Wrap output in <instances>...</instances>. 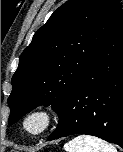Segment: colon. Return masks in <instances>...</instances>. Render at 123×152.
Masks as SVG:
<instances>
[{
    "label": "colon",
    "instance_id": "obj_1",
    "mask_svg": "<svg viewBox=\"0 0 123 152\" xmlns=\"http://www.w3.org/2000/svg\"><path fill=\"white\" fill-rule=\"evenodd\" d=\"M8 152H16V151L11 150V151H8Z\"/></svg>",
    "mask_w": 123,
    "mask_h": 152
}]
</instances>
